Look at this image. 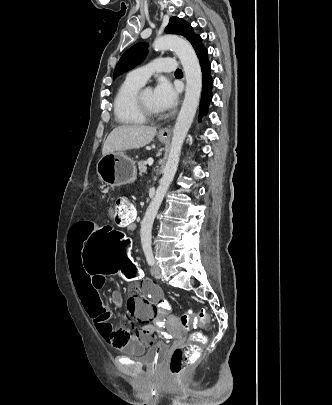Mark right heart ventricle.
<instances>
[{
	"label": "right heart ventricle",
	"mask_w": 332,
	"mask_h": 405,
	"mask_svg": "<svg viewBox=\"0 0 332 405\" xmlns=\"http://www.w3.org/2000/svg\"><path fill=\"white\" fill-rule=\"evenodd\" d=\"M142 85L128 77L118 88L113 107L115 119L121 125H140L146 122V119L139 113L135 101L136 94Z\"/></svg>",
	"instance_id": "obj_1"
}]
</instances>
